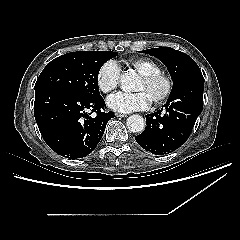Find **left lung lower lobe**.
Listing matches in <instances>:
<instances>
[{
    "mask_svg": "<svg viewBox=\"0 0 240 240\" xmlns=\"http://www.w3.org/2000/svg\"><path fill=\"white\" fill-rule=\"evenodd\" d=\"M204 81L174 91L160 111L146 115V128L136 142L155 154H169L183 145L203 109Z\"/></svg>",
    "mask_w": 240,
    "mask_h": 240,
    "instance_id": "1",
    "label": "left lung lower lobe"
}]
</instances>
